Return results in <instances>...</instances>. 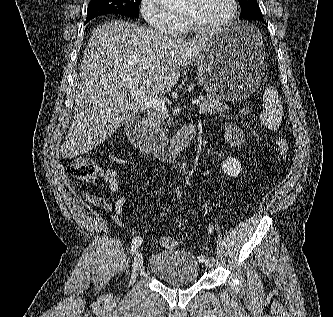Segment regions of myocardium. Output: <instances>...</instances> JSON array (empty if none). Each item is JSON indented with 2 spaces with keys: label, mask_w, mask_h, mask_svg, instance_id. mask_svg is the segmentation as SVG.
I'll use <instances>...</instances> for the list:
<instances>
[{
  "label": "myocardium",
  "mask_w": 333,
  "mask_h": 317,
  "mask_svg": "<svg viewBox=\"0 0 333 317\" xmlns=\"http://www.w3.org/2000/svg\"><path fill=\"white\" fill-rule=\"evenodd\" d=\"M229 4H230V10L227 16L220 23L211 27L207 28L199 27L184 15H180V18L184 24V27L188 32L198 36L213 35L226 29L235 19L238 11V2L237 0H229Z\"/></svg>",
  "instance_id": "myocardium-1"
}]
</instances>
